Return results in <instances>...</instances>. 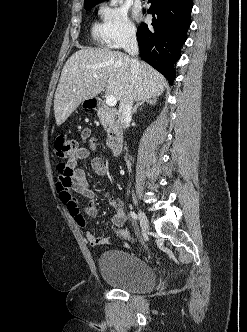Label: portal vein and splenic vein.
I'll return each mask as SVG.
<instances>
[{"instance_id": "1", "label": "portal vein and splenic vein", "mask_w": 247, "mask_h": 332, "mask_svg": "<svg viewBox=\"0 0 247 332\" xmlns=\"http://www.w3.org/2000/svg\"><path fill=\"white\" fill-rule=\"evenodd\" d=\"M116 103H117V99H116V97L114 95H108L106 97V104L108 106H115Z\"/></svg>"}]
</instances>
